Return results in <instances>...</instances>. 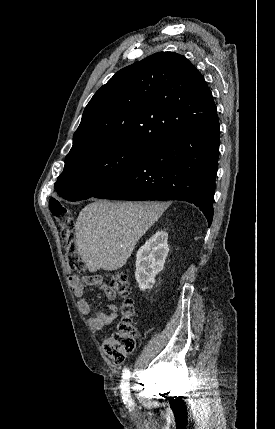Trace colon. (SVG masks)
<instances>
[{
    "instance_id": "colon-1",
    "label": "colon",
    "mask_w": 275,
    "mask_h": 429,
    "mask_svg": "<svg viewBox=\"0 0 275 429\" xmlns=\"http://www.w3.org/2000/svg\"><path fill=\"white\" fill-rule=\"evenodd\" d=\"M49 208L56 219L61 236L65 241V257L70 269L84 272L86 265L79 255L74 237V219L70 210L57 200L50 201ZM110 288L124 301L121 306V318L115 330L102 341V348L106 356L116 364H121L131 354L136 345L137 330L135 327V307L129 297L130 281L123 272H114L110 275Z\"/></svg>"
}]
</instances>
